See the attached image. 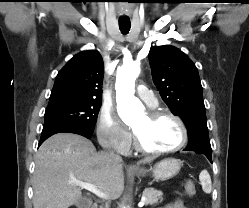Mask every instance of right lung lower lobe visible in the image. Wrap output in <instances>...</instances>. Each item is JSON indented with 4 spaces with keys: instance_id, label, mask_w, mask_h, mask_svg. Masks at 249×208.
Instances as JSON below:
<instances>
[{
    "instance_id": "obj_1",
    "label": "right lung lower lobe",
    "mask_w": 249,
    "mask_h": 208,
    "mask_svg": "<svg viewBox=\"0 0 249 208\" xmlns=\"http://www.w3.org/2000/svg\"><path fill=\"white\" fill-rule=\"evenodd\" d=\"M60 132L75 133V134L82 135L86 138H90L92 134L85 130L75 128L72 126L55 124V123L44 124L42 134H41V139H40L38 146H40L48 137L52 136L53 134L60 133Z\"/></svg>"
}]
</instances>
